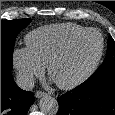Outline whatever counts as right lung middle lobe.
Wrapping results in <instances>:
<instances>
[{"label":"right lung middle lobe","instance_id":"right-lung-middle-lobe-1","mask_svg":"<svg viewBox=\"0 0 115 115\" xmlns=\"http://www.w3.org/2000/svg\"><path fill=\"white\" fill-rule=\"evenodd\" d=\"M31 22V18L1 20V70H12L13 47L17 34Z\"/></svg>","mask_w":115,"mask_h":115}]
</instances>
